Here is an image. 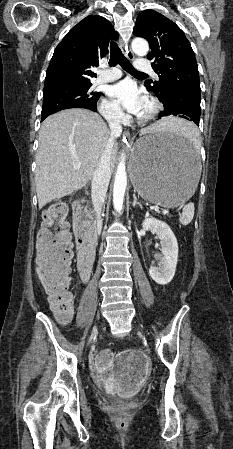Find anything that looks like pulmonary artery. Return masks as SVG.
<instances>
[{"instance_id":"e3ab8cb5","label":"pulmonary artery","mask_w":233,"mask_h":449,"mask_svg":"<svg viewBox=\"0 0 233 449\" xmlns=\"http://www.w3.org/2000/svg\"><path fill=\"white\" fill-rule=\"evenodd\" d=\"M135 68L140 70V71H146V72H152L153 70L150 66V64L148 62H146L143 59H138L135 64H134ZM154 77H157V75L155 73H153ZM122 76V72L116 68V67H112L108 70L103 71L97 78V82L98 83H108V82H113L117 79H119Z\"/></svg>"}]
</instances>
